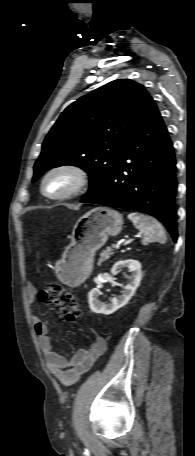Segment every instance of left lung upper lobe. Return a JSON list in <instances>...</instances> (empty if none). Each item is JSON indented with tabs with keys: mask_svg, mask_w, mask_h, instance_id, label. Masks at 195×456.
<instances>
[{
	"mask_svg": "<svg viewBox=\"0 0 195 456\" xmlns=\"http://www.w3.org/2000/svg\"><path fill=\"white\" fill-rule=\"evenodd\" d=\"M154 104L139 83L119 79L69 105L47 134L34 165L33 181L43 172L73 165L89 173L96 192L112 171L129 134Z\"/></svg>",
	"mask_w": 195,
	"mask_h": 456,
	"instance_id": "1",
	"label": "left lung upper lobe"
}]
</instances>
